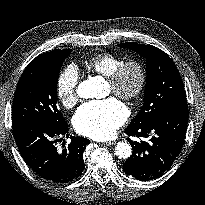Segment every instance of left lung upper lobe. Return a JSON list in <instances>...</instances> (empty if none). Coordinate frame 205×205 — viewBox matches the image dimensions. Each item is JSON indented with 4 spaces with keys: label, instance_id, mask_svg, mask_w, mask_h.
<instances>
[{
    "label": "left lung upper lobe",
    "instance_id": "left-lung-upper-lobe-1",
    "mask_svg": "<svg viewBox=\"0 0 205 205\" xmlns=\"http://www.w3.org/2000/svg\"><path fill=\"white\" fill-rule=\"evenodd\" d=\"M118 46L137 52L146 58L147 62L143 107L128 127L140 126L167 108L187 103L179 71L165 52L157 47L136 42L122 43Z\"/></svg>",
    "mask_w": 205,
    "mask_h": 205
}]
</instances>
